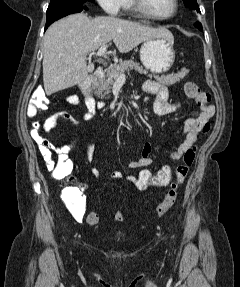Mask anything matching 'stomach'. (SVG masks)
Returning a JSON list of instances; mask_svg holds the SVG:
<instances>
[{
    "mask_svg": "<svg viewBox=\"0 0 240 287\" xmlns=\"http://www.w3.org/2000/svg\"><path fill=\"white\" fill-rule=\"evenodd\" d=\"M174 38L157 37L143 42L140 48V60L152 73L168 71L175 60Z\"/></svg>",
    "mask_w": 240,
    "mask_h": 287,
    "instance_id": "stomach-1",
    "label": "stomach"
}]
</instances>
